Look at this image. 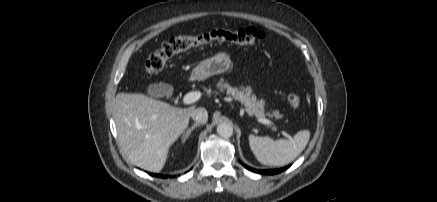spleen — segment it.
Returning a JSON list of instances; mask_svg holds the SVG:
<instances>
[{
  "mask_svg": "<svg viewBox=\"0 0 437 202\" xmlns=\"http://www.w3.org/2000/svg\"><path fill=\"white\" fill-rule=\"evenodd\" d=\"M249 146L257 160L267 166H283L293 161L307 146L309 130H301L291 139L272 140L270 137L249 135Z\"/></svg>",
  "mask_w": 437,
  "mask_h": 202,
  "instance_id": "3e777b00",
  "label": "spleen"
}]
</instances>
